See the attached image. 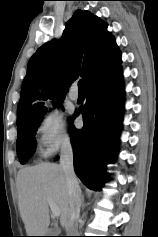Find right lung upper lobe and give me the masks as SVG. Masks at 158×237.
<instances>
[{
    "mask_svg": "<svg viewBox=\"0 0 158 237\" xmlns=\"http://www.w3.org/2000/svg\"><path fill=\"white\" fill-rule=\"evenodd\" d=\"M107 26L89 11L78 10L59 41L53 39L38 48L28 63L17 119L46 109L39 100L63 101L78 76L86 78L88 85L120 65V51Z\"/></svg>",
    "mask_w": 158,
    "mask_h": 237,
    "instance_id": "obj_1",
    "label": "right lung upper lobe"
}]
</instances>
